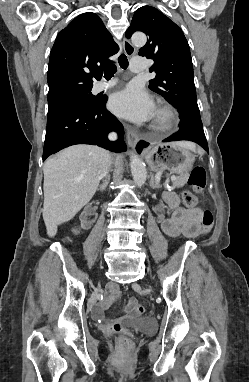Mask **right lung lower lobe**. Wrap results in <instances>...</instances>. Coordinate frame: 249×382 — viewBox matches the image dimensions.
I'll return each instance as SVG.
<instances>
[{
    "mask_svg": "<svg viewBox=\"0 0 249 382\" xmlns=\"http://www.w3.org/2000/svg\"><path fill=\"white\" fill-rule=\"evenodd\" d=\"M107 97L96 98L89 108L72 109L47 119L43 160L59 150L75 144L98 145L121 152L126 150L122 140L107 139L110 131L123 135V128L116 117L106 109Z\"/></svg>",
    "mask_w": 249,
    "mask_h": 382,
    "instance_id": "1",
    "label": "right lung lower lobe"
}]
</instances>
